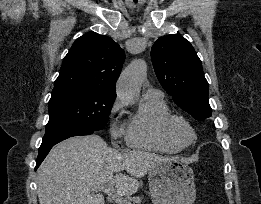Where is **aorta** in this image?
<instances>
[{
	"mask_svg": "<svg viewBox=\"0 0 261 204\" xmlns=\"http://www.w3.org/2000/svg\"><path fill=\"white\" fill-rule=\"evenodd\" d=\"M146 68L145 61L135 60L123 70L117 86V95L121 100L130 104L138 100Z\"/></svg>",
	"mask_w": 261,
	"mask_h": 204,
	"instance_id": "obj_1",
	"label": "aorta"
}]
</instances>
